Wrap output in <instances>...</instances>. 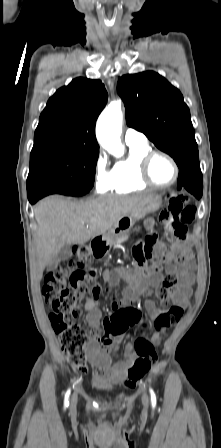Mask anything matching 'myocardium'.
I'll return each mask as SVG.
<instances>
[{"instance_id":"myocardium-1","label":"myocardium","mask_w":221,"mask_h":448,"mask_svg":"<svg viewBox=\"0 0 221 448\" xmlns=\"http://www.w3.org/2000/svg\"><path fill=\"white\" fill-rule=\"evenodd\" d=\"M157 156H163L166 159H168L175 169V176H174L173 180L167 184L157 183L151 175V165H152L153 160ZM140 177H141V180L145 184H147L151 187H154L157 189L169 188V187L173 186L178 181V179L180 177V166H179L178 162L175 160V158L173 156H171L169 153L160 151V150H151L148 153H146L140 161Z\"/></svg>"}]
</instances>
